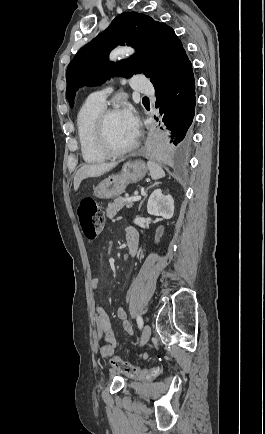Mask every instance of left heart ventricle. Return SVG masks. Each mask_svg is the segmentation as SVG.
<instances>
[{
    "mask_svg": "<svg viewBox=\"0 0 265 434\" xmlns=\"http://www.w3.org/2000/svg\"><path fill=\"white\" fill-rule=\"evenodd\" d=\"M109 141L110 144L118 150L130 147L136 140L133 135L125 127L118 114L112 116L108 123Z\"/></svg>",
    "mask_w": 265,
    "mask_h": 434,
    "instance_id": "left-heart-ventricle-1",
    "label": "left heart ventricle"
}]
</instances>
